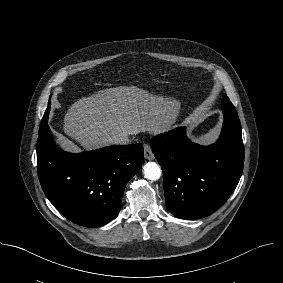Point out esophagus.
<instances>
[{
  "label": "esophagus",
  "mask_w": 283,
  "mask_h": 283,
  "mask_svg": "<svg viewBox=\"0 0 283 283\" xmlns=\"http://www.w3.org/2000/svg\"><path fill=\"white\" fill-rule=\"evenodd\" d=\"M144 157L147 160H153L154 159V154H153L151 147L148 143L144 144Z\"/></svg>",
  "instance_id": "34e87169"
}]
</instances>
